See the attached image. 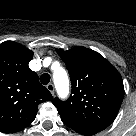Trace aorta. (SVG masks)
Listing matches in <instances>:
<instances>
[{
  "label": "aorta",
  "instance_id": "762f6f07",
  "mask_svg": "<svg viewBox=\"0 0 136 136\" xmlns=\"http://www.w3.org/2000/svg\"><path fill=\"white\" fill-rule=\"evenodd\" d=\"M53 81L60 97L65 98L69 93V78L67 72L62 67L53 71Z\"/></svg>",
  "mask_w": 136,
  "mask_h": 136
}]
</instances>
